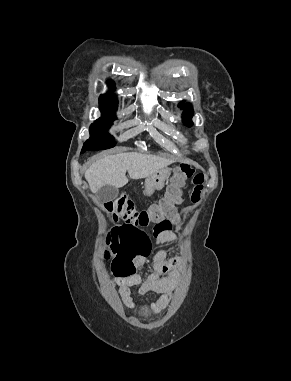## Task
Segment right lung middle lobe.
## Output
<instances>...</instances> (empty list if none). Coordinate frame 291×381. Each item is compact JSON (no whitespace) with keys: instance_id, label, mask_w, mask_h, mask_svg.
<instances>
[{"instance_id":"1","label":"right lung middle lobe","mask_w":291,"mask_h":381,"mask_svg":"<svg viewBox=\"0 0 291 381\" xmlns=\"http://www.w3.org/2000/svg\"><path fill=\"white\" fill-rule=\"evenodd\" d=\"M99 107L102 117L91 125L90 139L83 145L81 153L87 150H101L115 146L114 139L107 130L112 125V121L116 119L114 113L117 109V105L100 101Z\"/></svg>"}]
</instances>
